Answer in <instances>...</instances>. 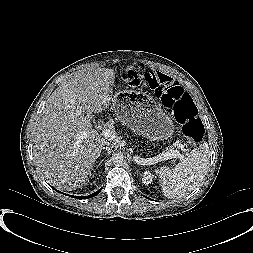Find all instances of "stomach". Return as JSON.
I'll list each match as a JSON object with an SVG mask.
<instances>
[{
    "mask_svg": "<svg viewBox=\"0 0 253 253\" xmlns=\"http://www.w3.org/2000/svg\"><path fill=\"white\" fill-rule=\"evenodd\" d=\"M112 108L123 125L149 140L167 139L173 133L172 120L149 96L120 91L112 98Z\"/></svg>",
    "mask_w": 253,
    "mask_h": 253,
    "instance_id": "stomach-1",
    "label": "stomach"
}]
</instances>
